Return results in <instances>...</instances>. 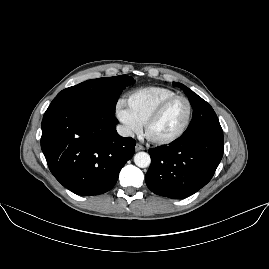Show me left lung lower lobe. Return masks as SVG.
<instances>
[{
    "label": "left lung lower lobe",
    "instance_id": "obj_1",
    "mask_svg": "<svg viewBox=\"0 0 269 269\" xmlns=\"http://www.w3.org/2000/svg\"><path fill=\"white\" fill-rule=\"evenodd\" d=\"M222 130H208L180 137L169 146L149 150L151 165L145 175L157 195L184 199L199 191L213 177L223 156Z\"/></svg>",
    "mask_w": 269,
    "mask_h": 269
}]
</instances>
